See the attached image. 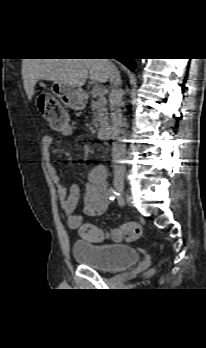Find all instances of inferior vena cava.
<instances>
[{
  "label": "inferior vena cava",
  "instance_id": "obj_1",
  "mask_svg": "<svg viewBox=\"0 0 206 348\" xmlns=\"http://www.w3.org/2000/svg\"><path fill=\"white\" fill-rule=\"evenodd\" d=\"M109 81L111 90L109 94V103L111 111V125H112V157L115 162H120L125 158L126 146L123 143L125 130L123 129V119L121 113V103L123 91L121 89V77L118 69L111 62Z\"/></svg>",
  "mask_w": 206,
  "mask_h": 348
}]
</instances>
